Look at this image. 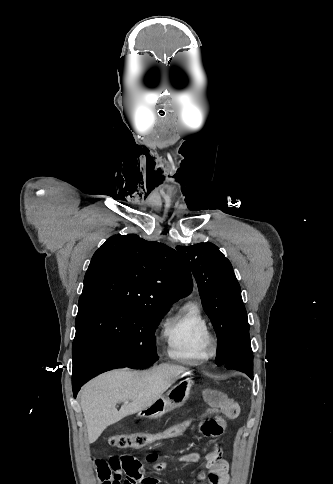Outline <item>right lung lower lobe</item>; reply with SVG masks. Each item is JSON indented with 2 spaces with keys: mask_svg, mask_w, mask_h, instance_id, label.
Wrapping results in <instances>:
<instances>
[{
  "mask_svg": "<svg viewBox=\"0 0 333 484\" xmlns=\"http://www.w3.org/2000/svg\"><path fill=\"white\" fill-rule=\"evenodd\" d=\"M127 367L117 353L96 341L87 340L73 359V393L76 397L81 386L94 376L113 368Z\"/></svg>",
  "mask_w": 333,
  "mask_h": 484,
  "instance_id": "1",
  "label": "right lung lower lobe"
}]
</instances>
